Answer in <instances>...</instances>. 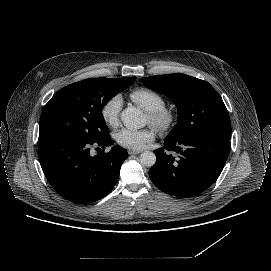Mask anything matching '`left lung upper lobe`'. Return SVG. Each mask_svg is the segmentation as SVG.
<instances>
[{
    "label": "left lung upper lobe",
    "instance_id": "1",
    "mask_svg": "<svg viewBox=\"0 0 271 271\" xmlns=\"http://www.w3.org/2000/svg\"><path fill=\"white\" fill-rule=\"evenodd\" d=\"M141 81L146 87L165 94L178 108L177 124L166 140L211 129L231 132L226 106L206 81L181 73L144 77Z\"/></svg>",
    "mask_w": 271,
    "mask_h": 271
}]
</instances>
